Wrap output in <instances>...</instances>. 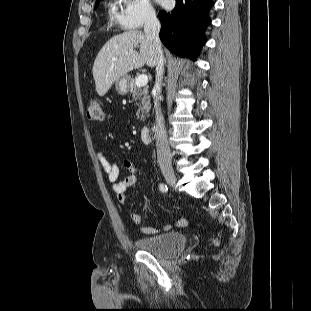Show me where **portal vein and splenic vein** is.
I'll list each match as a JSON object with an SVG mask.
<instances>
[{"label":"portal vein and splenic vein","instance_id":"portal-vein-and-splenic-vein-1","mask_svg":"<svg viewBox=\"0 0 311 311\" xmlns=\"http://www.w3.org/2000/svg\"><path fill=\"white\" fill-rule=\"evenodd\" d=\"M114 60H117V58H114ZM135 83L138 87L146 86L148 83V76L145 74L138 76L135 79Z\"/></svg>","mask_w":311,"mask_h":311}]
</instances>
